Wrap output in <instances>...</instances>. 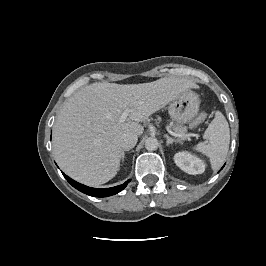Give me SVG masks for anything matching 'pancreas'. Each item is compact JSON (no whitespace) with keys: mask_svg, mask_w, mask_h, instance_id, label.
I'll return each mask as SVG.
<instances>
[{"mask_svg":"<svg viewBox=\"0 0 266 266\" xmlns=\"http://www.w3.org/2000/svg\"><path fill=\"white\" fill-rule=\"evenodd\" d=\"M185 127L181 126V125H174L173 126V130L177 133H183L185 131Z\"/></svg>","mask_w":266,"mask_h":266,"instance_id":"1","label":"pancreas"}]
</instances>
